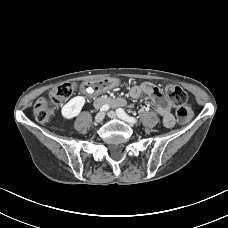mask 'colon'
Instances as JSON below:
<instances>
[{"mask_svg": "<svg viewBox=\"0 0 228 228\" xmlns=\"http://www.w3.org/2000/svg\"><path fill=\"white\" fill-rule=\"evenodd\" d=\"M76 89L74 82H63L56 85L50 92V100L55 105H60L70 99ZM166 93L170 102L177 106V118L181 123L189 122L194 115L191 105L188 103V95L180 87L168 85ZM34 115L41 123L48 122L54 113L52 104L45 98H39L34 104Z\"/></svg>", "mask_w": 228, "mask_h": 228, "instance_id": "colon-1", "label": "colon"}]
</instances>
